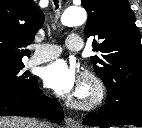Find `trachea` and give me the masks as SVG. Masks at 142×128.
I'll return each mask as SVG.
<instances>
[{
  "label": "trachea",
  "mask_w": 142,
  "mask_h": 128,
  "mask_svg": "<svg viewBox=\"0 0 142 128\" xmlns=\"http://www.w3.org/2000/svg\"><path fill=\"white\" fill-rule=\"evenodd\" d=\"M56 7H58L59 0H53Z\"/></svg>",
  "instance_id": "obj_1"
}]
</instances>
